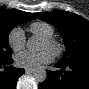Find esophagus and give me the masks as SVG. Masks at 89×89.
Returning a JSON list of instances; mask_svg holds the SVG:
<instances>
[{
	"label": "esophagus",
	"instance_id": "esophagus-1",
	"mask_svg": "<svg viewBox=\"0 0 89 89\" xmlns=\"http://www.w3.org/2000/svg\"><path fill=\"white\" fill-rule=\"evenodd\" d=\"M25 72H26L27 74H30V73L33 72V69L27 68V69H25Z\"/></svg>",
	"mask_w": 89,
	"mask_h": 89
}]
</instances>
